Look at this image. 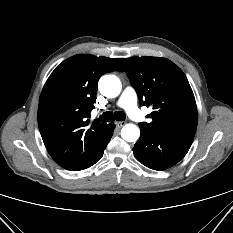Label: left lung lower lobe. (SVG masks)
Instances as JSON below:
<instances>
[{"instance_id": "0a47b994", "label": "left lung lower lobe", "mask_w": 233, "mask_h": 233, "mask_svg": "<svg viewBox=\"0 0 233 233\" xmlns=\"http://www.w3.org/2000/svg\"><path fill=\"white\" fill-rule=\"evenodd\" d=\"M141 135L133 153L136 159L153 170H165L178 163L188 152L193 138L159 133L140 126Z\"/></svg>"}]
</instances>
